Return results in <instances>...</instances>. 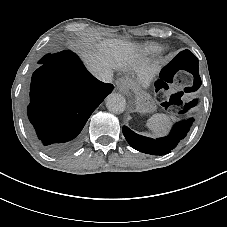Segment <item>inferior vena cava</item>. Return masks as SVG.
Here are the masks:
<instances>
[{
	"label": "inferior vena cava",
	"instance_id": "1",
	"mask_svg": "<svg viewBox=\"0 0 227 227\" xmlns=\"http://www.w3.org/2000/svg\"><path fill=\"white\" fill-rule=\"evenodd\" d=\"M95 77L104 83H112L113 73H112V71L107 70L105 72L95 74Z\"/></svg>",
	"mask_w": 227,
	"mask_h": 227
}]
</instances>
